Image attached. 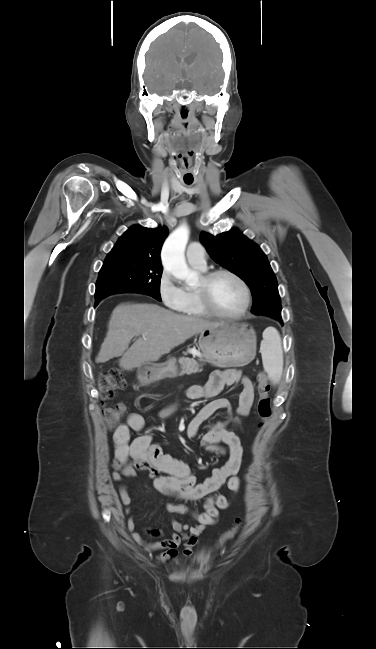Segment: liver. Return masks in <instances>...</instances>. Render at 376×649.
I'll return each mask as SVG.
<instances>
[{"label": "liver", "mask_w": 376, "mask_h": 649, "mask_svg": "<svg viewBox=\"0 0 376 649\" xmlns=\"http://www.w3.org/2000/svg\"><path fill=\"white\" fill-rule=\"evenodd\" d=\"M220 325L216 321L179 315L156 304L123 303L111 314L96 362L122 356L120 367L132 370L159 360L192 336ZM140 335L129 348L132 338Z\"/></svg>", "instance_id": "1"}]
</instances>
